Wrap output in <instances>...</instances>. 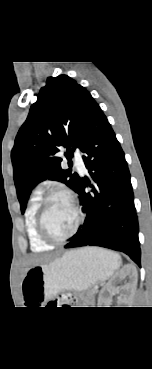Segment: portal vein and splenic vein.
I'll return each instance as SVG.
<instances>
[{"mask_svg":"<svg viewBox=\"0 0 152 369\" xmlns=\"http://www.w3.org/2000/svg\"><path fill=\"white\" fill-rule=\"evenodd\" d=\"M97 289H98V286L95 287V290H97Z\"/></svg>","mask_w":152,"mask_h":369,"instance_id":"1","label":"portal vein and splenic vein"}]
</instances>
